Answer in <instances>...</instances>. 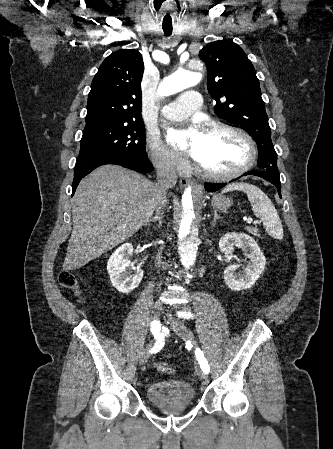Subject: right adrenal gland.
Here are the masks:
<instances>
[{
	"instance_id": "right-adrenal-gland-1",
	"label": "right adrenal gland",
	"mask_w": 333,
	"mask_h": 449,
	"mask_svg": "<svg viewBox=\"0 0 333 449\" xmlns=\"http://www.w3.org/2000/svg\"><path fill=\"white\" fill-rule=\"evenodd\" d=\"M151 222H158L159 227L162 226V213L158 212L152 219L148 220L145 225L150 224Z\"/></svg>"
}]
</instances>
